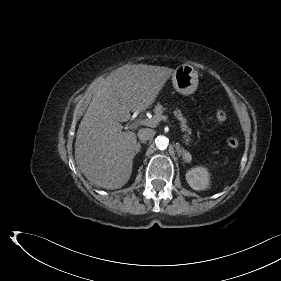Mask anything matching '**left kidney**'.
Listing matches in <instances>:
<instances>
[{
    "instance_id": "left-kidney-1",
    "label": "left kidney",
    "mask_w": 281,
    "mask_h": 281,
    "mask_svg": "<svg viewBox=\"0 0 281 281\" xmlns=\"http://www.w3.org/2000/svg\"><path fill=\"white\" fill-rule=\"evenodd\" d=\"M186 180L194 190H205L209 186V172L204 167H195L186 173Z\"/></svg>"
}]
</instances>
